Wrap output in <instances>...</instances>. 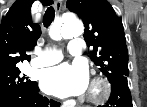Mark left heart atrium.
I'll return each mask as SVG.
<instances>
[{
    "label": "left heart atrium",
    "mask_w": 147,
    "mask_h": 107,
    "mask_svg": "<svg viewBox=\"0 0 147 107\" xmlns=\"http://www.w3.org/2000/svg\"><path fill=\"white\" fill-rule=\"evenodd\" d=\"M41 87L60 98L80 95L87 90L88 73L84 66L61 64L43 72Z\"/></svg>",
    "instance_id": "1"
}]
</instances>
